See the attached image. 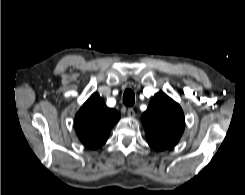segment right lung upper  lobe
Instances as JSON below:
<instances>
[{
	"instance_id": "obj_1",
	"label": "right lung upper lobe",
	"mask_w": 245,
	"mask_h": 195,
	"mask_svg": "<svg viewBox=\"0 0 245 195\" xmlns=\"http://www.w3.org/2000/svg\"><path fill=\"white\" fill-rule=\"evenodd\" d=\"M120 114L107 108L103 99L93 93L75 116V130L80 141L90 149H97L108 139Z\"/></svg>"
}]
</instances>
